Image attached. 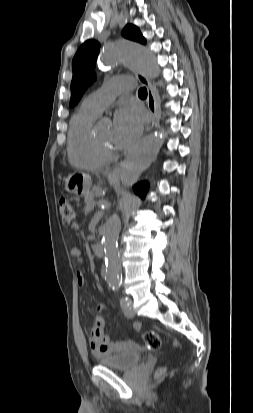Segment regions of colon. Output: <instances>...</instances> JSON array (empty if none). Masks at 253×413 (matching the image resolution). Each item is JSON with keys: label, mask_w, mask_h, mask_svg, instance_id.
I'll list each match as a JSON object with an SVG mask.
<instances>
[{"label": "colon", "mask_w": 253, "mask_h": 413, "mask_svg": "<svg viewBox=\"0 0 253 413\" xmlns=\"http://www.w3.org/2000/svg\"><path fill=\"white\" fill-rule=\"evenodd\" d=\"M59 209H60V215H61L62 221L65 224L72 223L76 214H75V210L71 202L66 198H61L59 201ZM141 338L143 342L146 344V346L151 349H158L161 347L162 338L160 337L159 334L153 331L144 332L141 335ZM173 345L177 346L178 343L174 341ZM163 373H164L163 368L158 369L157 371L158 376L162 375Z\"/></svg>", "instance_id": "5ec220e1"}]
</instances>
